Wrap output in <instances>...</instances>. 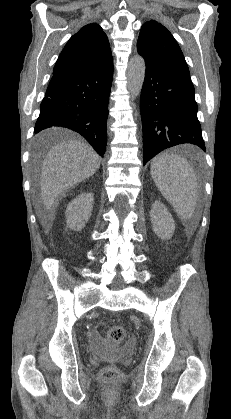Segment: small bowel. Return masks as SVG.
I'll list each match as a JSON object with an SVG mask.
<instances>
[{"label": "small bowel", "instance_id": "obj_1", "mask_svg": "<svg viewBox=\"0 0 231 419\" xmlns=\"http://www.w3.org/2000/svg\"><path fill=\"white\" fill-rule=\"evenodd\" d=\"M91 340H92V343H93L95 349H98L99 345H100V338H99V334H98L97 331H92L91 332Z\"/></svg>", "mask_w": 231, "mask_h": 419}]
</instances>
